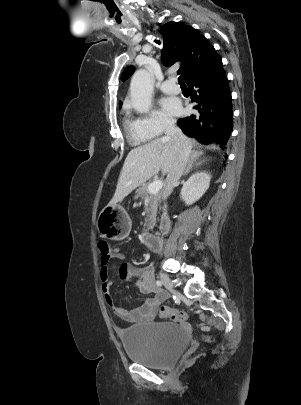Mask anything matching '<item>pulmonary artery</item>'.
Segmentation results:
<instances>
[{
  "instance_id": "e3ab8cb5",
  "label": "pulmonary artery",
  "mask_w": 301,
  "mask_h": 405,
  "mask_svg": "<svg viewBox=\"0 0 301 405\" xmlns=\"http://www.w3.org/2000/svg\"><path fill=\"white\" fill-rule=\"evenodd\" d=\"M161 90L165 93L178 94L181 92L180 87L177 85L174 78H170L162 83Z\"/></svg>"
}]
</instances>
